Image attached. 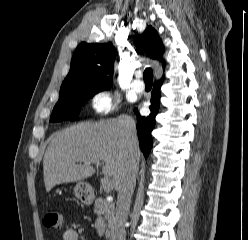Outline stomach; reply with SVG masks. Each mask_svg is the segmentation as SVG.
Wrapping results in <instances>:
<instances>
[{"label":"stomach","mask_w":248,"mask_h":240,"mask_svg":"<svg viewBox=\"0 0 248 240\" xmlns=\"http://www.w3.org/2000/svg\"><path fill=\"white\" fill-rule=\"evenodd\" d=\"M74 193L83 203H90L93 199L91 186L86 182H78L74 187Z\"/></svg>","instance_id":"0dacf381"}]
</instances>
